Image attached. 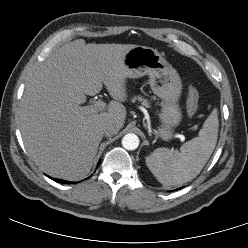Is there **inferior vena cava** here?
I'll return each mask as SVG.
<instances>
[{
    "label": "inferior vena cava",
    "instance_id": "inferior-vena-cava-1",
    "mask_svg": "<svg viewBox=\"0 0 248 248\" xmlns=\"http://www.w3.org/2000/svg\"><path fill=\"white\" fill-rule=\"evenodd\" d=\"M119 129H120L119 125L116 124L115 122H112V121H108V122L104 123L102 126L103 133L106 136H113V135L117 134Z\"/></svg>",
    "mask_w": 248,
    "mask_h": 248
}]
</instances>
